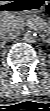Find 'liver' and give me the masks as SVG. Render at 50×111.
<instances>
[{"label": "liver", "mask_w": 50, "mask_h": 111, "mask_svg": "<svg viewBox=\"0 0 50 111\" xmlns=\"http://www.w3.org/2000/svg\"><path fill=\"white\" fill-rule=\"evenodd\" d=\"M5 3H6V2H3V1H2V2H1V5L5 4Z\"/></svg>", "instance_id": "obj_1"}]
</instances>
